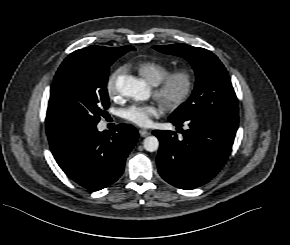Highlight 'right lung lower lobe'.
Listing matches in <instances>:
<instances>
[{"label": "right lung lower lobe", "mask_w": 290, "mask_h": 245, "mask_svg": "<svg viewBox=\"0 0 290 245\" xmlns=\"http://www.w3.org/2000/svg\"><path fill=\"white\" fill-rule=\"evenodd\" d=\"M138 140L130 124L114 132H99L96 125L69 128L49 138L51 152L65 174L89 190H101L123 173L125 160Z\"/></svg>", "instance_id": "1"}]
</instances>
